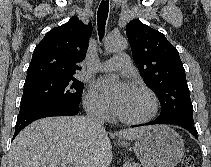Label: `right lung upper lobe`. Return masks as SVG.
Masks as SVG:
<instances>
[{"label": "right lung upper lobe", "mask_w": 211, "mask_h": 167, "mask_svg": "<svg viewBox=\"0 0 211 167\" xmlns=\"http://www.w3.org/2000/svg\"><path fill=\"white\" fill-rule=\"evenodd\" d=\"M91 31V23L86 26L75 16L49 31L34 49L26 80L74 76L81 70L78 63L85 57Z\"/></svg>", "instance_id": "cb5924a9"}]
</instances>
